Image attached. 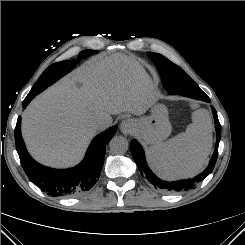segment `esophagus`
I'll list each match as a JSON object with an SVG mask.
<instances>
[{
    "mask_svg": "<svg viewBox=\"0 0 245 245\" xmlns=\"http://www.w3.org/2000/svg\"><path fill=\"white\" fill-rule=\"evenodd\" d=\"M122 133L129 134L134 130V122L131 119H125L120 124Z\"/></svg>",
    "mask_w": 245,
    "mask_h": 245,
    "instance_id": "esophagus-1",
    "label": "esophagus"
}]
</instances>
